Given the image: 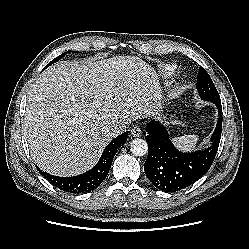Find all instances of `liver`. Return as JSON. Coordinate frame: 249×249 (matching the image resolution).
<instances>
[{
  "instance_id": "1",
  "label": "liver",
  "mask_w": 249,
  "mask_h": 249,
  "mask_svg": "<svg viewBox=\"0 0 249 249\" xmlns=\"http://www.w3.org/2000/svg\"><path fill=\"white\" fill-rule=\"evenodd\" d=\"M162 100L156 71L135 56L50 66L27 98L31 156L52 175L84 173L115 137L114 124L160 115Z\"/></svg>"
}]
</instances>
